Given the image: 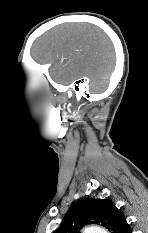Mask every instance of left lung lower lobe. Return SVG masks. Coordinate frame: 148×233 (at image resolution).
<instances>
[{
    "mask_svg": "<svg viewBox=\"0 0 148 233\" xmlns=\"http://www.w3.org/2000/svg\"><path fill=\"white\" fill-rule=\"evenodd\" d=\"M126 233H131V229H128V231Z\"/></svg>",
    "mask_w": 148,
    "mask_h": 233,
    "instance_id": "obj_1",
    "label": "left lung lower lobe"
}]
</instances>
